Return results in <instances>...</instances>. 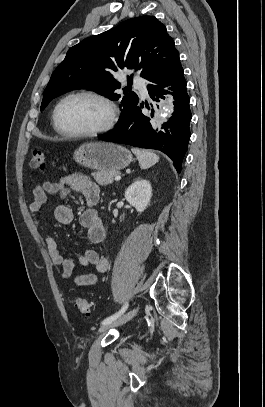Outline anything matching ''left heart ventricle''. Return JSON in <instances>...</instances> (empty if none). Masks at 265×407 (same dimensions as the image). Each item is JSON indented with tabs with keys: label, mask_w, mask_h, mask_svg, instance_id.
Listing matches in <instances>:
<instances>
[{
	"label": "left heart ventricle",
	"mask_w": 265,
	"mask_h": 407,
	"mask_svg": "<svg viewBox=\"0 0 265 407\" xmlns=\"http://www.w3.org/2000/svg\"><path fill=\"white\" fill-rule=\"evenodd\" d=\"M108 118L107 108L99 101L78 96L66 100L60 107V126L67 131H89L102 126Z\"/></svg>",
	"instance_id": "obj_1"
}]
</instances>
